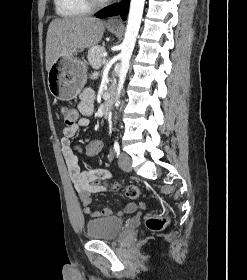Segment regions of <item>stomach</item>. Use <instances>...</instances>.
Instances as JSON below:
<instances>
[{
    "mask_svg": "<svg viewBox=\"0 0 247 280\" xmlns=\"http://www.w3.org/2000/svg\"><path fill=\"white\" fill-rule=\"evenodd\" d=\"M76 54L75 49L64 51L48 72L49 91L62 101L76 98L87 80V64Z\"/></svg>",
    "mask_w": 247,
    "mask_h": 280,
    "instance_id": "stomach-1",
    "label": "stomach"
}]
</instances>
